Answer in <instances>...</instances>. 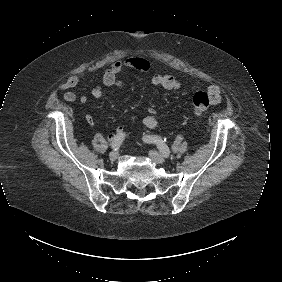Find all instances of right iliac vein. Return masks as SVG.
<instances>
[{
	"mask_svg": "<svg viewBox=\"0 0 282 282\" xmlns=\"http://www.w3.org/2000/svg\"><path fill=\"white\" fill-rule=\"evenodd\" d=\"M118 157H119V152H118L117 150H114V151H112V152L109 154V159H110L111 161L117 160Z\"/></svg>",
	"mask_w": 282,
	"mask_h": 282,
	"instance_id": "1",
	"label": "right iliac vein"
}]
</instances>
